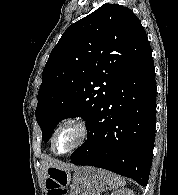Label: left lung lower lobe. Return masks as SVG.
Listing matches in <instances>:
<instances>
[{"mask_svg":"<svg viewBox=\"0 0 178 195\" xmlns=\"http://www.w3.org/2000/svg\"><path fill=\"white\" fill-rule=\"evenodd\" d=\"M155 114V69L150 52L112 87L87 128V141L72 153L71 162L104 168L147 185Z\"/></svg>","mask_w":178,"mask_h":195,"instance_id":"1","label":"left lung lower lobe"}]
</instances>
